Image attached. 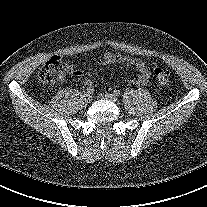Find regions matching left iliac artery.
Masks as SVG:
<instances>
[{
  "label": "left iliac artery",
  "mask_w": 207,
  "mask_h": 207,
  "mask_svg": "<svg viewBox=\"0 0 207 207\" xmlns=\"http://www.w3.org/2000/svg\"><path fill=\"white\" fill-rule=\"evenodd\" d=\"M120 94H121V93H120L119 90H114V91H113V95H114V96H120Z\"/></svg>",
  "instance_id": "left-iliac-artery-1"
}]
</instances>
